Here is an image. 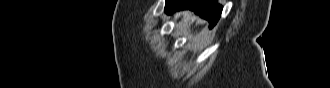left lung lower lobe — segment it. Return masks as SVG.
Listing matches in <instances>:
<instances>
[{
	"instance_id": "left-lung-lower-lobe-1",
	"label": "left lung lower lobe",
	"mask_w": 330,
	"mask_h": 88,
	"mask_svg": "<svg viewBox=\"0 0 330 88\" xmlns=\"http://www.w3.org/2000/svg\"><path fill=\"white\" fill-rule=\"evenodd\" d=\"M193 10L200 17L210 23V27L216 25L222 12V6L217 0H166L165 13H173L177 10Z\"/></svg>"
}]
</instances>
